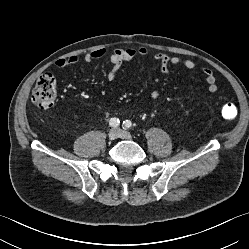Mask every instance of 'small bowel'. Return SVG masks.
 I'll use <instances>...</instances> for the list:
<instances>
[{
    "instance_id": "small-bowel-1",
    "label": "small bowel",
    "mask_w": 249,
    "mask_h": 249,
    "mask_svg": "<svg viewBox=\"0 0 249 249\" xmlns=\"http://www.w3.org/2000/svg\"><path fill=\"white\" fill-rule=\"evenodd\" d=\"M148 50L146 48H116L109 54V62L111 68L108 72L107 78L109 81L115 79L121 66L135 58L136 56H147ZM106 56L105 49H96L84 55L83 60L86 63H91L92 61L102 59ZM155 61L160 65V71L164 75H170L171 66H182L188 70H194L196 68V63L188 58H182L179 56H172L166 52H157L153 55ZM78 62L77 56H69L65 58H59L56 60L55 65L59 68H64L69 65L76 64ZM202 74L204 75L205 81L207 83V89L210 93L217 91V81L214 72L209 67L202 68ZM159 92L153 90L151 92V98L154 101L159 99Z\"/></svg>"
}]
</instances>
